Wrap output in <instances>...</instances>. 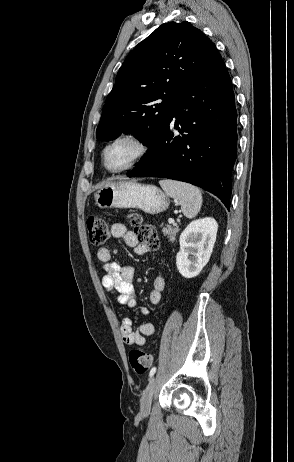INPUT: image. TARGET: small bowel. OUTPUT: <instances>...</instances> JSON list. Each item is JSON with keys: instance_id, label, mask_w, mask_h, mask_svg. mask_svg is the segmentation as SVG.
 <instances>
[{"instance_id": "1", "label": "small bowel", "mask_w": 294, "mask_h": 462, "mask_svg": "<svg viewBox=\"0 0 294 462\" xmlns=\"http://www.w3.org/2000/svg\"><path fill=\"white\" fill-rule=\"evenodd\" d=\"M111 232L114 237L121 239L126 246L132 248L135 254L142 256L148 253V249L139 244L134 233L129 231L124 224H114ZM97 258L103 264V270L105 271L102 277L103 287L116 296L119 304L131 308L135 307L138 302L133 285L135 269L132 266H122L113 261L111 251L106 247L98 249ZM165 285L164 277L157 276L154 278L152 290L148 297L151 304H158L160 302ZM141 311L143 314H148L147 308H141ZM120 332L126 344L143 346L146 343V338L154 334L155 327L152 323H143L137 329H133L132 320L129 317H125L121 322Z\"/></svg>"}]
</instances>
